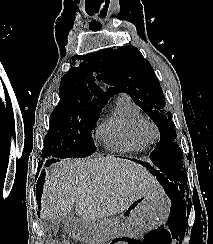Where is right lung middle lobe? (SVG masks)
Segmentation results:
<instances>
[{
	"label": "right lung middle lobe",
	"mask_w": 213,
	"mask_h": 244,
	"mask_svg": "<svg viewBox=\"0 0 213 244\" xmlns=\"http://www.w3.org/2000/svg\"><path fill=\"white\" fill-rule=\"evenodd\" d=\"M100 111L84 106L55 108L44 139L43 158L85 157L94 153L96 148L90 134Z\"/></svg>",
	"instance_id": "right-lung-middle-lobe-1"
}]
</instances>
